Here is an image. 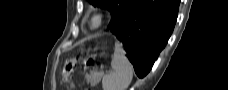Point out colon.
I'll return each instance as SVG.
<instances>
[{
    "instance_id": "obj_1",
    "label": "colon",
    "mask_w": 228,
    "mask_h": 90,
    "mask_svg": "<svg viewBox=\"0 0 228 90\" xmlns=\"http://www.w3.org/2000/svg\"><path fill=\"white\" fill-rule=\"evenodd\" d=\"M82 57H73L69 59L62 68V80L66 84L67 89H75V85L71 81V73L74 67L81 61ZM86 63L89 65L92 63V58H88Z\"/></svg>"
}]
</instances>
